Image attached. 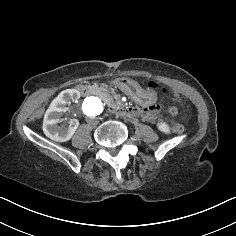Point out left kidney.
Instances as JSON below:
<instances>
[{"mask_svg":"<svg viewBox=\"0 0 236 236\" xmlns=\"http://www.w3.org/2000/svg\"><path fill=\"white\" fill-rule=\"evenodd\" d=\"M157 127H158V129H159L161 132H164V133H166V134H169V133H170V128H169L168 124H166L165 122L160 121V122L157 124Z\"/></svg>","mask_w":236,"mask_h":236,"instance_id":"5707ae66","label":"left kidney"}]
</instances>
